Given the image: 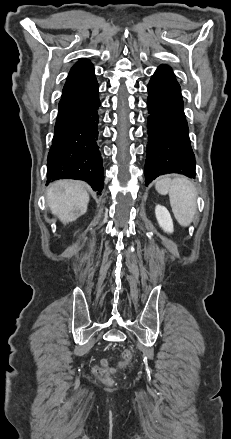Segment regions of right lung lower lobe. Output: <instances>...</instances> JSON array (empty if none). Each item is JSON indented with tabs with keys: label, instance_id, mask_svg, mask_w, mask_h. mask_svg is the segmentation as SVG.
<instances>
[{
	"label": "right lung lower lobe",
	"instance_id": "98d812e1",
	"mask_svg": "<svg viewBox=\"0 0 231 439\" xmlns=\"http://www.w3.org/2000/svg\"><path fill=\"white\" fill-rule=\"evenodd\" d=\"M98 83L95 75L62 92L48 154L47 180L71 178L88 182L97 194L104 184L98 149Z\"/></svg>",
	"mask_w": 231,
	"mask_h": 439
}]
</instances>
